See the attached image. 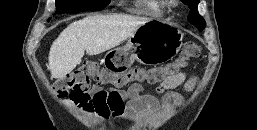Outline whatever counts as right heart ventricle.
I'll return each instance as SVG.
<instances>
[{"label":"right heart ventricle","mask_w":257,"mask_h":130,"mask_svg":"<svg viewBox=\"0 0 257 130\" xmlns=\"http://www.w3.org/2000/svg\"><path fill=\"white\" fill-rule=\"evenodd\" d=\"M135 3L138 11L147 15H161L166 10L165 0H136Z\"/></svg>","instance_id":"1"}]
</instances>
